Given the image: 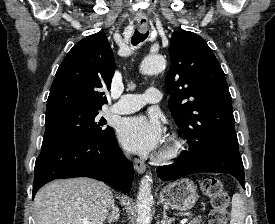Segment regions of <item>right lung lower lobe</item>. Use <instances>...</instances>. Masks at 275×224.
<instances>
[{"label":"right lung lower lobe","instance_id":"right-lung-lower-lobe-1","mask_svg":"<svg viewBox=\"0 0 275 224\" xmlns=\"http://www.w3.org/2000/svg\"><path fill=\"white\" fill-rule=\"evenodd\" d=\"M32 198L44 184L60 178L90 177L128 193L134 177L121 155L114 131L98 141L51 140L42 143L34 168Z\"/></svg>","mask_w":275,"mask_h":224}]
</instances>
